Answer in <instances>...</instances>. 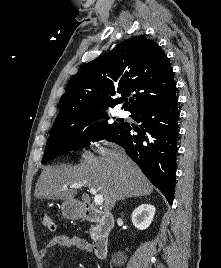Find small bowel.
<instances>
[{"label":"small bowel","instance_id":"small-bowel-1","mask_svg":"<svg viewBox=\"0 0 221 268\" xmlns=\"http://www.w3.org/2000/svg\"><path fill=\"white\" fill-rule=\"evenodd\" d=\"M67 247L78 250H85L87 252L92 251L91 244L84 238L77 235H54L48 243L39 251V257L41 259L42 268H51V263L48 259V254L54 247Z\"/></svg>","mask_w":221,"mask_h":268}]
</instances>
